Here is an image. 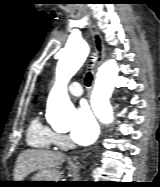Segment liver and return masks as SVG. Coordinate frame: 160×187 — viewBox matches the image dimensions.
<instances>
[{"mask_svg": "<svg viewBox=\"0 0 160 187\" xmlns=\"http://www.w3.org/2000/svg\"><path fill=\"white\" fill-rule=\"evenodd\" d=\"M65 160L62 153H54L44 150H25L17 158L14 169L15 181H22L28 174L34 171L52 170L61 165Z\"/></svg>", "mask_w": 160, "mask_h": 187, "instance_id": "obj_1", "label": "liver"}]
</instances>
